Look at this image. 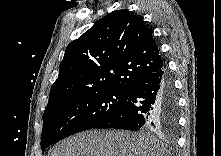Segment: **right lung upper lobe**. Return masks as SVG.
<instances>
[{
	"label": "right lung upper lobe",
	"instance_id": "cb5924a9",
	"mask_svg": "<svg viewBox=\"0 0 221 156\" xmlns=\"http://www.w3.org/2000/svg\"><path fill=\"white\" fill-rule=\"evenodd\" d=\"M164 66L143 19L128 10L113 11L67 46L46 108L81 93L128 92Z\"/></svg>",
	"mask_w": 221,
	"mask_h": 156
}]
</instances>
